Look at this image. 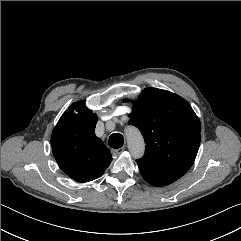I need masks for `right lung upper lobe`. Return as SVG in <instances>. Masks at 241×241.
I'll list each match as a JSON object with an SVG mask.
<instances>
[{"label": "right lung upper lobe", "instance_id": "obj_1", "mask_svg": "<svg viewBox=\"0 0 241 241\" xmlns=\"http://www.w3.org/2000/svg\"><path fill=\"white\" fill-rule=\"evenodd\" d=\"M96 123V114L78 101L65 111L51 136L52 152L59 167L78 182L98 178L112 161L111 152L94 133Z\"/></svg>", "mask_w": 241, "mask_h": 241}]
</instances>
